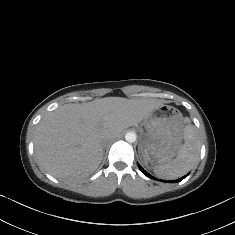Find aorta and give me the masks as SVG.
<instances>
[{
    "instance_id": "aorta-1",
    "label": "aorta",
    "mask_w": 235,
    "mask_h": 235,
    "mask_svg": "<svg viewBox=\"0 0 235 235\" xmlns=\"http://www.w3.org/2000/svg\"><path fill=\"white\" fill-rule=\"evenodd\" d=\"M125 140L128 143H134L136 141V134L134 132H129L125 135Z\"/></svg>"
}]
</instances>
